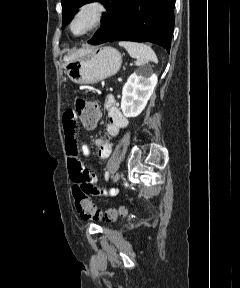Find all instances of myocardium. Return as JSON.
Returning a JSON list of instances; mask_svg holds the SVG:
<instances>
[{"mask_svg": "<svg viewBox=\"0 0 240 288\" xmlns=\"http://www.w3.org/2000/svg\"><path fill=\"white\" fill-rule=\"evenodd\" d=\"M93 11L94 18L91 26L84 31L83 33L77 34L73 31V24L75 20L85 11ZM108 13V7L102 0H88L82 3L74 12L70 22H69V30L72 33V35L76 37H82L85 35H88L89 33L93 32L94 30L101 27L103 24L106 16Z\"/></svg>", "mask_w": 240, "mask_h": 288, "instance_id": "1", "label": "myocardium"}]
</instances>
